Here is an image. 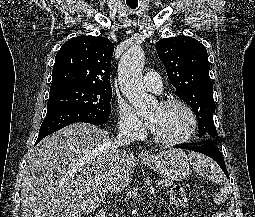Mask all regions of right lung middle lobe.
Returning a JSON list of instances; mask_svg holds the SVG:
<instances>
[{"mask_svg": "<svg viewBox=\"0 0 255 217\" xmlns=\"http://www.w3.org/2000/svg\"><path fill=\"white\" fill-rule=\"evenodd\" d=\"M111 88H99L81 84H63L50 87L47 108L66 105L89 111L102 117L111 113Z\"/></svg>", "mask_w": 255, "mask_h": 217, "instance_id": "dd1d6c3e", "label": "right lung middle lobe"}]
</instances>
